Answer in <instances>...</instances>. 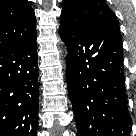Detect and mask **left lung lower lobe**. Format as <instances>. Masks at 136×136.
Segmentation results:
<instances>
[{
  "instance_id": "0a47b994",
  "label": "left lung lower lobe",
  "mask_w": 136,
  "mask_h": 136,
  "mask_svg": "<svg viewBox=\"0 0 136 136\" xmlns=\"http://www.w3.org/2000/svg\"><path fill=\"white\" fill-rule=\"evenodd\" d=\"M68 48L66 78L77 136H129L121 36L60 24Z\"/></svg>"
}]
</instances>
